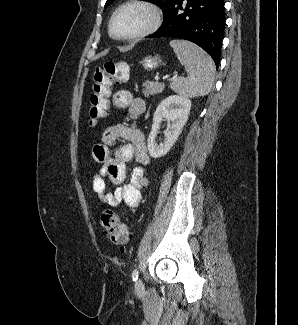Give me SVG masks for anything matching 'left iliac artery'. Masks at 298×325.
I'll return each instance as SVG.
<instances>
[{
  "instance_id": "1",
  "label": "left iliac artery",
  "mask_w": 298,
  "mask_h": 325,
  "mask_svg": "<svg viewBox=\"0 0 298 325\" xmlns=\"http://www.w3.org/2000/svg\"><path fill=\"white\" fill-rule=\"evenodd\" d=\"M132 279L133 281H136L138 279V270L135 268L132 272Z\"/></svg>"
}]
</instances>
